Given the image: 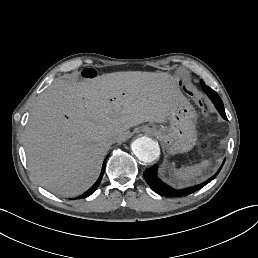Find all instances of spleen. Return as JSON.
Listing matches in <instances>:
<instances>
[{
	"mask_svg": "<svg viewBox=\"0 0 258 258\" xmlns=\"http://www.w3.org/2000/svg\"><path fill=\"white\" fill-rule=\"evenodd\" d=\"M209 164L210 162L208 160H204L200 164L175 170L174 175L178 180L189 182L197 176L202 175L203 169H206Z\"/></svg>",
	"mask_w": 258,
	"mask_h": 258,
	"instance_id": "1",
	"label": "spleen"
}]
</instances>
